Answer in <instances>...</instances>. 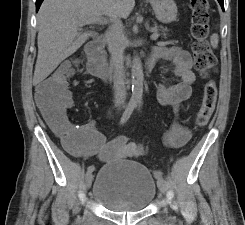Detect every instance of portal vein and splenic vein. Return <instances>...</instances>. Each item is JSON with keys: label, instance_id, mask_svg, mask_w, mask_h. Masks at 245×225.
<instances>
[{"label": "portal vein and splenic vein", "instance_id": "1", "mask_svg": "<svg viewBox=\"0 0 245 225\" xmlns=\"http://www.w3.org/2000/svg\"><path fill=\"white\" fill-rule=\"evenodd\" d=\"M82 23H83V25H85V24H94V23L103 24V23H106V21H105V19H103V17L98 16V17H94V18H90V19L84 20ZM158 37H159V33L156 30H154L153 34L151 35V39L152 40H156Z\"/></svg>", "mask_w": 245, "mask_h": 225}]
</instances>
